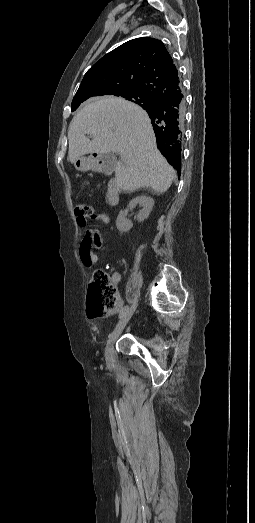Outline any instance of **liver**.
<instances>
[{
	"label": "liver",
	"instance_id": "1",
	"mask_svg": "<svg viewBox=\"0 0 255 523\" xmlns=\"http://www.w3.org/2000/svg\"><path fill=\"white\" fill-rule=\"evenodd\" d=\"M68 140L71 164L85 154L118 152L122 160L115 176L126 192L149 186L164 194L174 180L175 170L157 150L147 112L123 98L103 96L85 102L69 126Z\"/></svg>",
	"mask_w": 255,
	"mask_h": 523
}]
</instances>
